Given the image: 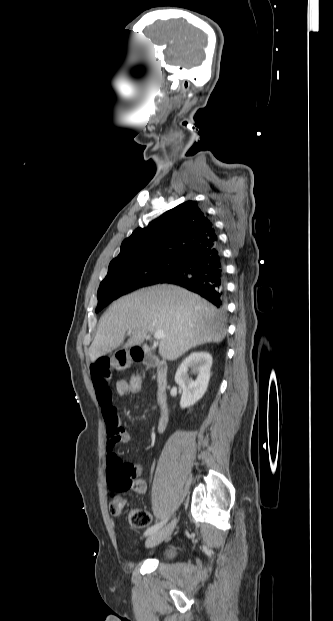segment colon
<instances>
[{"instance_id": "colon-1", "label": "colon", "mask_w": 333, "mask_h": 621, "mask_svg": "<svg viewBox=\"0 0 333 621\" xmlns=\"http://www.w3.org/2000/svg\"><path fill=\"white\" fill-rule=\"evenodd\" d=\"M142 376L140 374L132 376L125 381L127 394L138 396L141 392ZM109 485L116 491L123 492L132 488L131 469L121 465L111 467L108 470ZM125 505L124 500L117 499L110 503L109 510L113 515H119ZM151 515L144 509H133L128 514V522L134 528H144L151 523Z\"/></svg>"}]
</instances>
